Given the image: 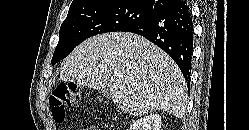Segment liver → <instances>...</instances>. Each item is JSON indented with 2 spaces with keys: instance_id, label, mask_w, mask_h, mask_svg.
I'll return each mask as SVG.
<instances>
[{
  "instance_id": "6515ba94",
  "label": "liver",
  "mask_w": 249,
  "mask_h": 130,
  "mask_svg": "<svg viewBox=\"0 0 249 130\" xmlns=\"http://www.w3.org/2000/svg\"><path fill=\"white\" fill-rule=\"evenodd\" d=\"M60 80L109 87L114 104L133 116L162 110L180 118L187 106V87L177 64L147 39L128 32L85 40L66 58Z\"/></svg>"
}]
</instances>
